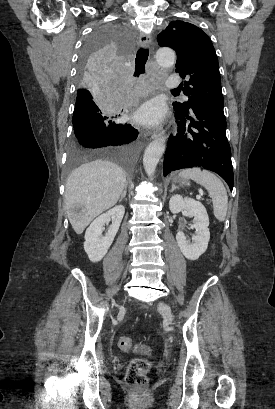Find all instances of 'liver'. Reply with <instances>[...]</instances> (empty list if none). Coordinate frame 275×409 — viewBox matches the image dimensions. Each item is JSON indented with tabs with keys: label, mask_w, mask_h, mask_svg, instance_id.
Returning <instances> with one entry per match:
<instances>
[{
	"label": "liver",
	"mask_w": 275,
	"mask_h": 409,
	"mask_svg": "<svg viewBox=\"0 0 275 409\" xmlns=\"http://www.w3.org/2000/svg\"><path fill=\"white\" fill-rule=\"evenodd\" d=\"M127 184L126 174L118 164L110 160L85 162L68 176L65 190V205L68 219L77 235H81L91 221L103 211L114 207ZM81 202L85 213L79 221L70 217V209Z\"/></svg>",
	"instance_id": "6515ba94"
}]
</instances>
